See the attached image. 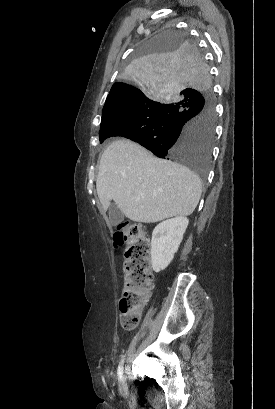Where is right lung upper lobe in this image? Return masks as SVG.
<instances>
[{"instance_id":"1","label":"right lung upper lobe","mask_w":275,"mask_h":409,"mask_svg":"<svg viewBox=\"0 0 275 409\" xmlns=\"http://www.w3.org/2000/svg\"><path fill=\"white\" fill-rule=\"evenodd\" d=\"M143 94L142 90H136L135 85L114 83L103 107V112L110 110L122 100Z\"/></svg>"}]
</instances>
